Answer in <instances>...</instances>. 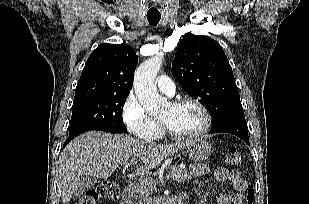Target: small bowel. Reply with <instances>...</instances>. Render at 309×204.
<instances>
[{
    "mask_svg": "<svg viewBox=\"0 0 309 204\" xmlns=\"http://www.w3.org/2000/svg\"><path fill=\"white\" fill-rule=\"evenodd\" d=\"M193 172L204 174L206 167L197 166ZM214 177L218 182L230 181L234 189L231 193H220L217 197L216 204H245L248 183L238 169H228L220 166L214 170Z\"/></svg>",
    "mask_w": 309,
    "mask_h": 204,
    "instance_id": "1",
    "label": "small bowel"
}]
</instances>
